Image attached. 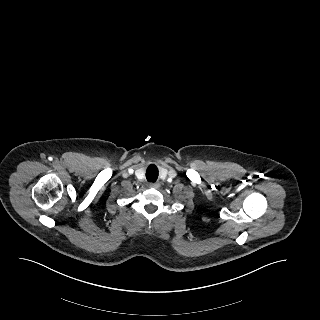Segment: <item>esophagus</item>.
<instances>
[{"instance_id": "1", "label": "esophagus", "mask_w": 320, "mask_h": 320, "mask_svg": "<svg viewBox=\"0 0 320 320\" xmlns=\"http://www.w3.org/2000/svg\"><path fill=\"white\" fill-rule=\"evenodd\" d=\"M160 186V184L159 183H149V187L150 188H158Z\"/></svg>"}]
</instances>
